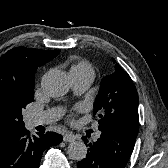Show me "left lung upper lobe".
Masks as SVG:
<instances>
[{
	"mask_svg": "<svg viewBox=\"0 0 168 168\" xmlns=\"http://www.w3.org/2000/svg\"><path fill=\"white\" fill-rule=\"evenodd\" d=\"M115 63V60L113 59ZM138 94L126 71L118 63L115 72L102 79L94 106V114L99 119V129L115 127L138 134Z\"/></svg>",
	"mask_w": 168,
	"mask_h": 168,
	"instance_id": "1",
	"label": "left lung upper lobe"
}]
</instances>
